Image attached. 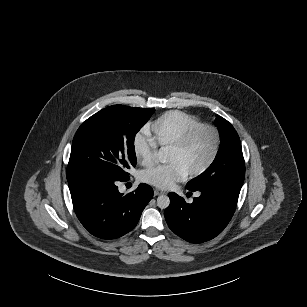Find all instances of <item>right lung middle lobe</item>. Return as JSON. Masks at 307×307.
<instances>
[{"instance_id":"right-lung-middle-lobe-1","label":"right lung middle lobe","mask_w":307,"mask_h":307,"mask_svg":"<svg viewBox=\"0 0 307 307\" xmlns=\"http://www.w3.org/2000/svg\"><path fill=\"white\" fill-rule=\"evenodd\" d=\"M154 111L113 105L88 118L72 142L68 182L87 176L128 179L126 170L136 165L135 135Z\"/></svg>"}]
</instances>
